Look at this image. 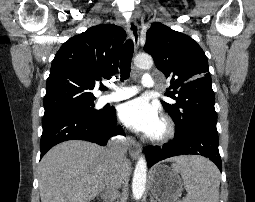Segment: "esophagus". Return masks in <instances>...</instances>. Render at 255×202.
Segmentation results:
<instances>
[{
	"label": "esophagus",
	"instance_id": "obj_1",
	"mask_svg": "<svg viewBox=\"0 0 255 202\" xmlns=\"http://www.w3.org/2000/svg\"><path fill=\"white\" fill-rule=\"evenodd\" d=\"M127 31H128V34H129L130 38L132 39V41L134 43L135 50L138 49V46H139V26H138L135 19L132 18L128 21ZM129 153H130V156L133 159H137L138 156L141 153L140 145L138 143H135L132 140H130Z\"/></svg>",
	"mask_w": 255,
	"mask_h": 202
}]
</instances>
